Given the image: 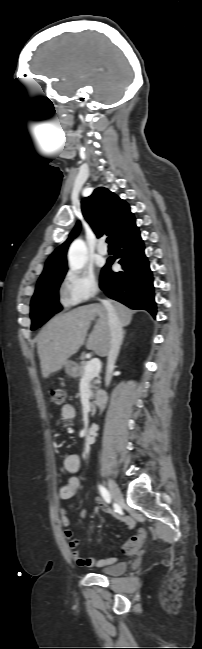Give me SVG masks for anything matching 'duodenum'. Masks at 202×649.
Listing matches in <instances>:
<instances>
[{
  "instance_id": "obj_1",
  "label": "duodenum",
  "mask_w": 202,
  "mask_h": 649,
  "mask_svg": "<svg viewBox=\"0 0 202 649\" xmlns=\"http://www.w3.org/2000/svg\"><path fill=\"white\" fill-rule=\"evenodd\" d=\"M95 401H96V404L99 405V406L104 405L105 401H106V395L104 393H100V392L96 393Z\"/></svg>"
}]
</instances>
